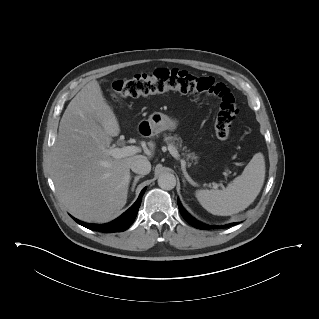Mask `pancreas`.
<instances>
[{"label":"pancreas","instance_id":"cf45deb5","mask_svg":"<svg viewBox=\"0 0 319 319\" xmlns=\"http://www.w3.org/2000/svg\"><path fill=\"white\" fill-rule=\"evenodd\" d=\"M164 141L169 145H173L176 150L182 147V139L180 137H177V135L171 136L170 134L169 135L165 134ZM182 150L185 151V153H182V154L186 157L187 161L189 160L196 161L198 159V156H196L194 152H189V150H186V147H183Z\"/></svg>","mask_w":319,"mask_h":319}]
</instances>
